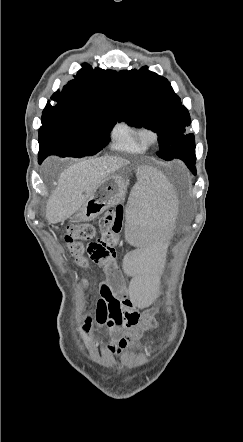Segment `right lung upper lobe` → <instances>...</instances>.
Returning <instances> with one entry per match:
<instances>
[{
	"label": "right lung upper lobe",
	"mask_w": 243,
	"mask_h": 442,
	"mask_svg": "<svg viewBox=\"0 0 243 442\" xmlns=\"http://www.w3.org/2000/svg\"><path fill=\"white\" fill-rule=\"evenodd\" d=\"M83 68L51 99L57 105L87 115L107 116L116 122L120 82L116 71L103 70L84 63Z\"/></svg>",
	"instance_id": "right-lung-upper-lobe-1"
}]
</instances>
